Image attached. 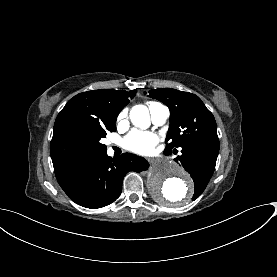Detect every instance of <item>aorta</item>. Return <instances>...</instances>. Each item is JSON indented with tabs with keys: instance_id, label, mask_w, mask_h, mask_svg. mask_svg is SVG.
Segmentation results:
<instances>
[{
	"instance_id": "762f6f07",
	"label": "aorta",
	"mask_w": 277,
	"mask_h": 277,
	"mask_svg": "<svg viewBox=\"0 0 277 277\" xmlns=\"http://www.w3.org/2000/svg\"><path fill=\"white\" fill-rule=\"evenodd\" d=\"M133 125L147 129L150 116L147 107L136 105L130 111ZM148 187L153 198L161 204L183 205L190 201L193 183L183 167L173 160L156 159L148 171Z\"/></svg>"
}]
</instances>
